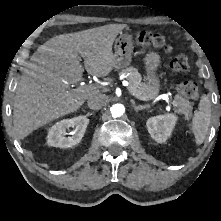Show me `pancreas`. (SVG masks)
<instances>
[{
  "mask_svg": "<svg viewBox=\"0 0 221 221\" xmlns=\"http://www.w3.org/2000/svg\"><path fill=\"white\" fill-rule=\"evenodd\" d=\"M121 73L132 74L127 78L129 81L128 90L136 98L153 99L157 94V92L153 90L152 86L142 82V77L136 68L129 67L122 70ZM174 105L177 108L178 113L184 114L187 117L191 115L190 102L185 98L177 96L174 101Z\"/></svg>",
  "mask_w": 221,
  "mask_h": 221,
  "instance_id": "1",
  "label": "pancreas"
}]
</instances>
